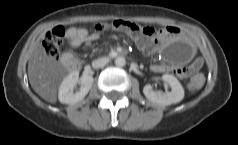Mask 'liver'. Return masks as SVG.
<instances>
[{
    "label": "liver",
    "mask_w": 238,
    "mask_h": 145,
    "mask_svg": "<svg viewBox=\"0 0 238 145\" xmlns=\"http://www.w3.org/2000/svg\"><path fill=\"white\" fill-rule=\"evenodd\" d=\"M76 68L75 64L49 57L41 43L35 45L28 62V77L33 90L45 101L56 103L62 79Z\"/></svg>",
    "instance_id": "6515ba94"
}]
</instances>
